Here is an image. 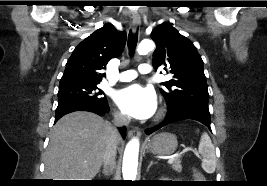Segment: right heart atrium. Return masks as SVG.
Listing matches in <instances>:
<instances>
[{"label":"right heart atrium","mask_w":267,"mask_h":186,"mask_svg":"<svg viewBox=\"0 0 267 186\" xmlns=\"http://www.w3.org/2000/svg\"><path fill=\"white\" fill-rule=\"evenodd\" d=\"M114 117L119 122H124L126 120V117L121 112H115Z\"/></svg>","instance_id":"d8ad5b80"}]
</instances>
